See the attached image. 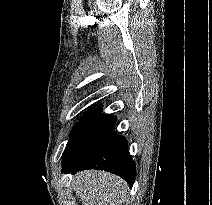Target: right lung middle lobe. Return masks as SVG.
Returning <instances> with one entry per match:
<instances>
[{"label": "right lung middle lobe", "mask_w": 212, "mask_h": 205, "mask_svg": "<svg viewBox=\"0 0 212 205\" xmlns=\"http://www.w3.org/2000/svg\"><path fill=\"white\" fill-rule=\"evenodd\" d=\"M96 108L93 107L90 110H88L84 116L80 119V121L73 127L71 132V137L66 145V148L64 150V153L68 150V148L71 146L75 138L78 136V134L81 132V130L84 128V126L87 124V122L90 120V118L95 113ZM63 153V154H64Z\"/></svg>", "instance_id": "1"}]
</instances>
